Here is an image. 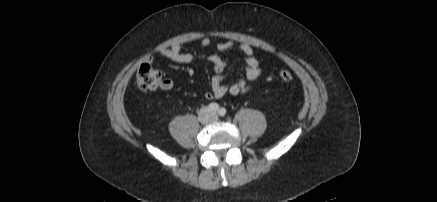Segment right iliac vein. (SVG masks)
Returning <instances> with one entry per match:
<instances>
[{"label": "right iliac vein", "mask_w": 437, "mask_h": 202, "mask_svg": "<svg viewBox=\"0 0 437 202\" xmlns=\"http://www.w3.org/2000/svg\"><path fill=\"white\" fill-rule=\"evenodd\" d=\"M206 113H207V110L204 109V110H202L201 115L203 116V115H205Z\"/></svg>", "instance_id": "63e3f726"}]
</instances>
